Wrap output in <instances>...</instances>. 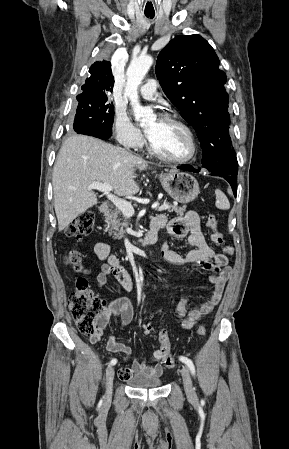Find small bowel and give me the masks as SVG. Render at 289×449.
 Instances as JSON below:
<instances>
[{
    "label": "small bowel",
    "mask_w": 289,
    "mask_h": 449,
    "mask_svg": "<svg viewBox=\"0 0 289 449\" xmlns=\"http://www.w3.org/2000/svg\"><path fill=\"white\" fill-rule=\"evenodd\" d=\"M151 224H158L160 227H167L170 237L181 239L187 236L188 247H192L186 255H180L173 250L169 243L163 244L161 257L167 263L182 266L192 265L201 267L205 270L216 272V275L210 277L213 290L210 298L200 307L187 311L188 300L182 298L177 305V314L182 319L181 327L184 330L193 328L198 320L214 310L221 300L226 282L232 274V268L228 264L225 255L216 254L206 243L200 224L199 216L194 211H189L184 217L166 221L164 216H157ZM97 257L104 261L100 272L96 276V285L103 288L109 276H113L120 285L127 291L133 289V281L130 274L120 264L119 259L110 253L109 247L103 242H99L94 248ZM120 316V328L128 326L134 317L133 305L129 299L122 297L108 304L102 313L100 327L98 331L90 337V342L95 344L104 336V328L111 321L112 316ZM106 347L108 351L120 354L125 360L131 362L130 367H124L119 371V377L127 381L135 374L143 373L148 375L160 376L166 365L162 361V355L159 349L153 352V359L160 361L156 365H147L145 360L132 359V350L129 346L118 342L114 336L107 338Z\"/></svg>",
    "instance_id": "small-bowel-1"
}]
</instances>
